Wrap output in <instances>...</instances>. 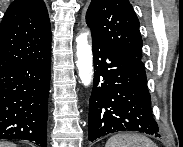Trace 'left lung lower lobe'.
Wrapping results in <instances>:
<instances>
[{
    "mask_svg": "<svg viewBox=\"0 0 183 147\" xmlns=\"http://www.w3.org/2000/svg\"><path fill=\"white\" fill-rule=\"evenodd\" d=\"M94 81L89 140L119 131L158 135L142 60L92 38Z\"/></svg>",
    "mask_w": 183,
    "mask_h": 147,
    "instance_id": "0a47b994",
    "label": "left lung lower lobe"
}]
</instances>
